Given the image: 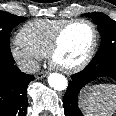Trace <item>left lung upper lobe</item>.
Masks as SVG:
<instances>
[{
  "label": "left lung upper lobe",
  "mask_w": 116,
  "mask_h": 116,
  "mask_svg": "<svg viewBox=\"0 0 116 116\" xmlns=\"http://www.w3.org/2000/svg\"><path fill=\"white\" fill-rule=\"evenodd\" d=\"M98 26L101 34V46L94 58L116 56V21L101 12L85 13Z\"/></svg>",
  "instance_id": "obj_1"
}]
</instances>
